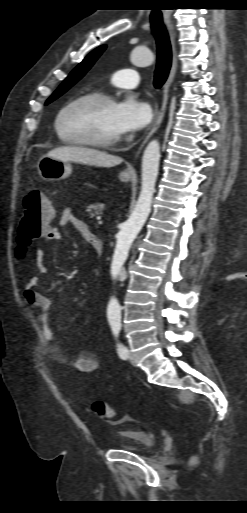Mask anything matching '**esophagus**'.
<instances>
[{"label":"esophagus","mask_w":247,"mask_h":513,"mask_svg":"<svg viewBox=\"0 0 247 513\" xmlns=\"http://www.w3.org/2000/svg\"><path fill=\"white\" fill-rule=\"evenodd\" d=\"M165 25H166V28L169 32V35H170V39H171V44H172V49H173V61H172V67H171V70H170V74L166 80V82L164 83L163 85V88H162V97H161V104H160V107L158 106V104L156 103L154 105V115H153V121L149 127V132L146 136V138L144 139L143 143L141 144L138 152H137V155L136 157L139 156L142 148L144 147V145L147 143V141L151 138V136L157 131V129L159 128L162 120H163V117H164V114L166 112V108H167V104H168V98H169V95H168V91H169V87H170V84L174 78V75L176 73V69H177V52H176V48H175V38H176V32H175V29H174V25L172 23L171 20H165ZM128 174H134L135 173V170L132 166L128 167L127 168V171H126Z\"/></svg>","instance_id":"34e87169"}]
</instances>
